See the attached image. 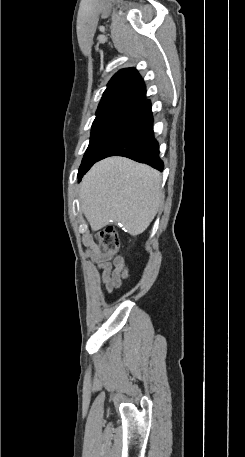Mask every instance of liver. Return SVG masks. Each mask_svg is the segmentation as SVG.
I'll return each instance as SVG.
<instances>
[{
	"instance_id": "liver-1",
	"label": "liver",
	"mask_w": 245,
	"mask_h": 457,
	"mask_svg": "<svg viewBox=\"0 0 245 457\" xmlns=\"http://www.w3.org/2000/svg\"><path fill=\"white\" fill-rule=\"evenodd\" d=\"M79 196L92 231L117 220L137 237L156 216L164 194L158 170L124 156H110L88 170Z\"/></svg>"
}]
</instances>
